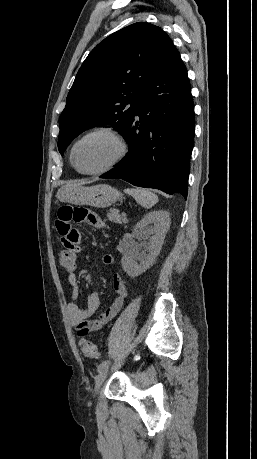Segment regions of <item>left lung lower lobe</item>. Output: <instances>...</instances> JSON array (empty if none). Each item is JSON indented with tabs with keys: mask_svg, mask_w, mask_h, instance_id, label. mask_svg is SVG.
<instances>
[{
	"mask_svg": "<svg viewBox=\"0 0 257 459\" xmlns=\"http://www.w3.org/2000/svg\"><path fill=\"white\" fill-rule=\"evenodd\" d=\"M194 107L187 70L174 47L143 89L123 137L129 152L101 178L180 193L187 198L194 139Z\"/></svg>",
	"mask_w": 257,
	"mask_h": 459,
	"instance_id": "0a47b994",
	"label": "left lung lower lobe"
}]
</instances>
